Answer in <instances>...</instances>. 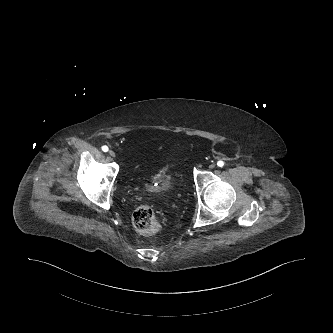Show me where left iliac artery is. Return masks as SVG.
<instances>
[{"mask_svg":"<svg viewBox=\"0 0 333 333\" xmlns=\"http://www.w3.org/2000/svg\"><path fill=\"white\" fill-rule=\"evenodd\" d=\"M217 165H218L219 167H223V166H224V162L220 160V161L217 162Z\"/></svg>","mask_w":333,"mask_h":333,"instance_id":"left-iliac-artery-1","label":"left iliac artery"}]
</instances>
